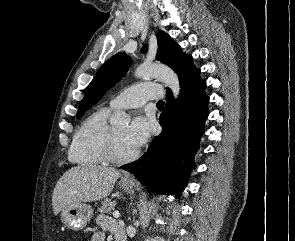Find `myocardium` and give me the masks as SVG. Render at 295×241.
<instances>
[{
	"label": "myocardium",
	"instance_id": "1",
	"mask_svg": "<svg viewBox=\"0 0 295 241\" xmlns=\"http://www.w3.org/2000/svg\"><path fill=\"white\" fill-rule=\"evenodd\" d=\"M104 154L108 161L112 163L120 164V163H127V162H131L135 160L138 157L139 152L136 150L129 155L118 154L116 149V140H115L114 130L111 127L105 141Z\"/></svg>",
	"mask_w": 295,
	"mask_h": 241
}]
</instances>
